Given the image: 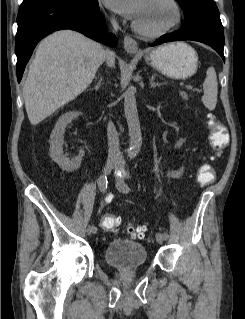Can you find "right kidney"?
Segmentation results:
<instances>
[{
	"label": "right kidney",
	"mask_w": 245,
	"mask_h": 319,
	"mask_svg": "<svg viewBox=\"0 0 245 319\" xmlns=\"http://www.w3.org/2000/svg\"><path fill=\"white\" fill-rule=\"evenodd\" d=\"M80 115V112H68L57 121L50 135V156L66 172H73L80 167L84 151L80 150L78 156L69 159L63 154L64 133L69 123Z\"/></svg>",
	"instance_id": "1"
}]
</instances>
